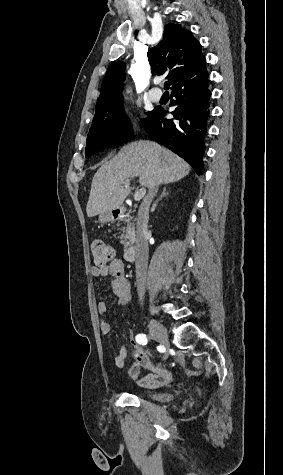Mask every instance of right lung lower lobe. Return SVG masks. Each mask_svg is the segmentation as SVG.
Returning <instances> with one entry per match:
<instances>
[{"label":"right lung lower lobe","mask_w":283,"mask_h":475,"mask_svg":"<svg viewBox=\"0 0 283 475\" xmlns=\"http://www.w3.org/2000/svg\"><path fill=\"white\" fill-rule=\"evenodd\" d=\"M175 99L170 106L174 119H167V111L158 106L145 125L146 132L156 142L184 158L200 175L205 153L204 137L210 114L209 75L206 67L185 76L171 87Z\"/></svg>","instance_id":"1"}]
</instances>
